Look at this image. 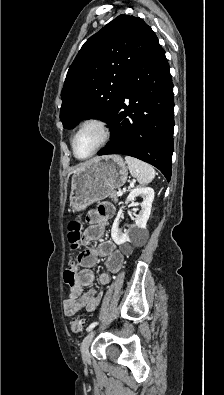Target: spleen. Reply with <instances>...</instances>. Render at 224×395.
Returning a JSON list of instances; mask_svg holds the SVG:
<instances>
[{"mask_svg":"<svg viewBox=\"0 0 224 395\" xmlns=\"http://www.w3.org/2000/svg\"><path fill=\"white\" fill-rule=\"evenodd\" d=\"M125 161L128 164L131 175L141 185L148 184L154 179L155 170L151 165L130 156H126Z\"/></svg>","mask_w":224,"mask_h":395,"instance_id":"obj_1","label":"spleen"}]
</instances>
